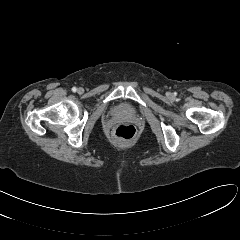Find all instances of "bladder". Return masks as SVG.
Listing matches in <instances>:
<instances>
[{"instance_id": "bladder-1", "label": "bladder", "mask_w": 240, "mask_h": 240, "mask_svg": "<svg viewBox=\"0 0 240 240\" xmlns=\"http://www.w3.org/2000/svg\"><path fill=\"white\" fill-rule=\"evenodd\" d=\"M115 112L118 113V114L130 113V109L128 107H125V106H118L115 109Z\"/></svg>"}]
</instances>
